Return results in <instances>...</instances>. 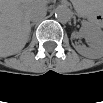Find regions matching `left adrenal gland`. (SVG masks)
Masks as SVG:
<instances>
[{"mask_svg": "<svg viewBox=\"0 0 103 103\" xmlns=\"http://www.w3.org/2000/svg\"><path fill=\"white\" fill-rule=\"evenodd\" d=\"M76 25V19H74V26Z\"/></svg>", "mask_w": 103, "mask_h": 103, "instance_id": "a2214340", "label": "left adrenal gland"}]
</instances>
